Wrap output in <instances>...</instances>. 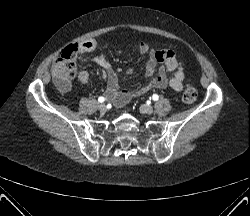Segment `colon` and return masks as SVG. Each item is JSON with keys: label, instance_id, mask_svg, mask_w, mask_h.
Listing matches in <instances>:
<instances>
[{"label": "colon", "instance_id": "obj_1", "mask_svg": "<svg viewBox=\"0 0 250 216\" xmlns=\"http://www.w3.org/2000/svg\"><path fill=\"white\" fill-rule=\"evenodd\" d=\"M78 52V45H72L63 50L61 55L54 63L53 72L59 80H67L71 78L75 70V57ZM197 98V90L187 84L184 88L182 99L185 103H192Z\"/></svg>", "mask_w": 250, "mask_h": 216}]
</instances>
